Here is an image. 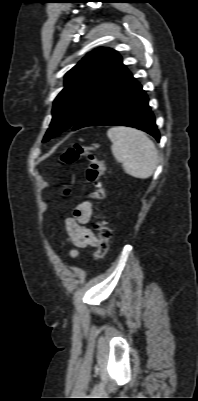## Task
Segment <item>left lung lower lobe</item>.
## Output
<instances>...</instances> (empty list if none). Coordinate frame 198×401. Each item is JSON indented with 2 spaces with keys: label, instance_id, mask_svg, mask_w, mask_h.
<instances>
[{
  "label": "left lung lower lobe",
  "instance_id": "1",
  "mask_svg": "<svg viewBox=\"0 0 198 401\" xmlns=\"http://www.w3.org/2000/svg\"><path fill=\"white\" fill-rule=\"evenodd\" d=\"M98 125L134 127L160 140L148 97L125 66L90 102L71 128L74 131Z\"/></svg>",
  "mask_w": 198,
  "mask_h": 401
}]
</instances>
